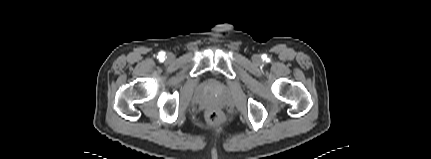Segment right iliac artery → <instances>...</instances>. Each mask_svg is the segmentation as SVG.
Listing matches in <instances>:
<instances>
[{
    "label": "right iliac artery",
    "instance_id": "1",
    "mask_svg": "<svg viewBox=\"0 0 431 159\" xmlns=\"http://www.w3.org/2000/svg\"><path fill=\"white\" fill-rule=\"evenodd\" d=\"M164 56H165V53H164V52H160V53H159V57H160V59H163V58H164Z\"/></svg>",
    "mask_w": 431,
    "mask_h": 159
}]
</instances>
